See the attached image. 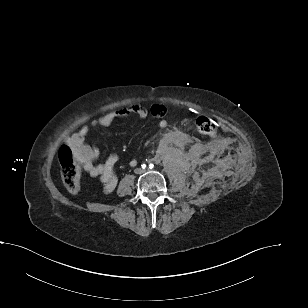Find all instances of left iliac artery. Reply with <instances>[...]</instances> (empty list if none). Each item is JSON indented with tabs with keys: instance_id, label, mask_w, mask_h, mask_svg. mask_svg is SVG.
<instances>
[{
	"instance_id": "44dca946",
	"label": "left iliac artery",
	"mask_w": 308,
	"mask_h": 308,
	"mask_svg": "<svg viewBox=\"0 0 308 308\" xmlns=\"http://www.w3.org/2000/svg\"><path fill=\"white\" fill-rule=\"evenodd\" d=\"M153 166H154L153 164H150V165H149V168L151 169V168H153Z\"/></svg>"
}]
</instances>
